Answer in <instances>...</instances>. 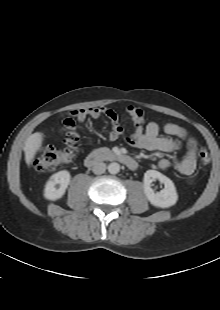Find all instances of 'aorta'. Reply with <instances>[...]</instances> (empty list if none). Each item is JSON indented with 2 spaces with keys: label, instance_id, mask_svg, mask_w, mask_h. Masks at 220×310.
<instances>
[{
  "label": "aorta",
  "instance_id": "obj_1",
  "mask_svg": "<svg viewBox=\"0 0 220 310\" xmlns=\"http://www.w3.org/2000/svg\"><path fill=\"white\" fill-rule=\"evenodd\" d=\"M120 171V165L116 162H112L108 165V172L110 174H117Z\"/></svg>",
  "mask_w": 220,
  "mask_h": 310
}]
</instances>
